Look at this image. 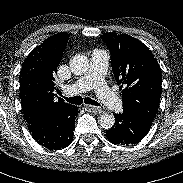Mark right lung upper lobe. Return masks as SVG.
Instances as JSON below:
<instances>
[{
	"instance_id": "1",
	"label": "right lung upper lobe",
	"mask_w": 183,
	"mask_h": 183,
	"mask_svg": "<svg viewBox=\"0 0 183 183\" xmlns=\"http://www.w3.org/2000/svg\"><path fill=\"white\" fill-rule=\"evenodd\" d=\"M68 33H58L34 48L22 64L20 72V97L27 123L39 113L65 114L75 106L56 98L54 81L62 60Z\"/></svg>"
}]
</instances>
